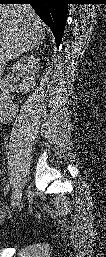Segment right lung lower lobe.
I'll list each match as a JSON object with an SVG mask.
<instances>
[{
	"label": "right lung lower lobe",
	"mask_w": 106,
	"mask_h": 257,
	"mask_svg": "<svg viewBox=\"0 0 106 257\" xmlns=\"http://www.w3.org/2000/svg\"><path fill=\"white\" fill-rule=\"evenodd\" d=\"M70 0H0V4H30L39 17L50 27L57 47L65 29Z\"/></svg>",
	"instance_id": "obj_1"
}]
</instances>
